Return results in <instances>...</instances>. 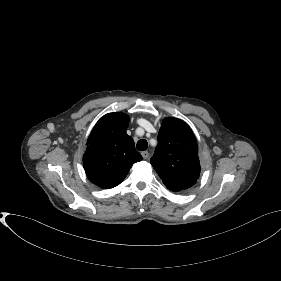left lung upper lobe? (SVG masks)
Masks as SVG:
<instances>
[{
  "label": "left lung upper lobe",
  "mask_w": 281,
  "mask_h": 281,
  "mask_svg": "<svg viewBox=\"0 0 281 281\" xmlns=\"http://www.w3.org/2000/svg\"><path fill=\"white\" fill-rule=\"evenodd\" d=\"M150 162L169 190L178 192L193 186L200 175V162L191 128L180 119H164Z\"/></svg>",
  "instance_id": "1"
}]
</instances>
